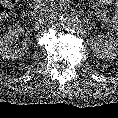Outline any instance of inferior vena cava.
Wrapping results in <instances>:
<instances>
[{
    "instance_id": "obj_1",
    "label": "inferior vena cava",
    "mask_w": 118,
    "mask_h": 118,
    "mask_svg": "<svg viewBox=\"0 0 118 118\" xmlns=\"http://www.w3.org/2000/svg\"><path fill=\"white\" fill-rule=\"evenodd\" d=\"M49 20L47 16H42L39 19L36 20L35 25L37 28L42 27L45 25V23Z\"/></svg>"
}]
</instances>
